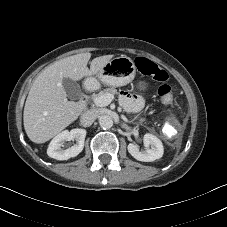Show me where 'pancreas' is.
I'll use <instances>...</instances> for the list:
<instances>
[{
  "label": "pancreas",
  "mask_w": 227,
  "mask_h": 227,
  "mask_svg": "<svg viewBox=\"0 0 227 227\" xmlns=\"http://www.w3.org/2000/svg\"><path fill=\"white\" fill-rule=\"evenodd\" d=\"M105 94H112V95H115V94H117V90H116L115 88H106V89L100 91L98 94L94 95V97H100V96H103V95H105ZM94 97H93V98H94ZM134 118H135V119H138L139 116L136 115ZM139 121H140L141 123H143V122H144V119H143V118H139Z\"/></svg>",
  "instance_id": "cf45deb5"
}]
</instances>
